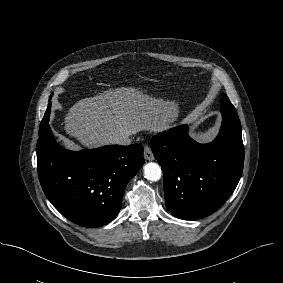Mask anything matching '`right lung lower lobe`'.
<instances>
[{
    "label": "right lung lower lobe",
    "instance_id": "1",
    "mask_svg": "<svg viewBox=\"0 0 283 283\" xmlns=\"http://www.w3.org/2000/svg\"><path fill=\"white\" fill-rule=\"evenodd\" d=\"M48 122L42 125L37 142L38 175L46 197L75 224H108L120 211L127 183L143 164V146L64 150Z\"/></svg>",
    "mask_w": 283,
    "mask_h": 283
}]
</instances>
